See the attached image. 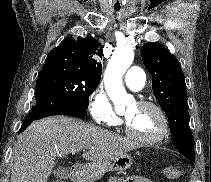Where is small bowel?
I'll use <instances>...</instances> for the list:
<instances>
[{"mask_svg":"<svg viewBox=\"0 0 211 182\" xmlns=\"http://www.w3.org/2000/svg\"><path fill=\"white\" fill-rule=\"evenodd\" d=\"M109 182H151L149 179L142 176L129 177H113Z\"/></svg>","mask_w":211,"mask_h":182,"instance_id":"obj_1","label":"small bowel"}]
</instances>
